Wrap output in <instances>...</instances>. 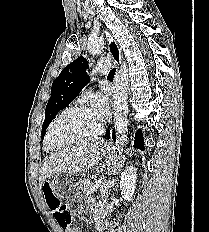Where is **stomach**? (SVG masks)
<instances>
[{
  "mask_svg": "<svg viewBox=\"0 0 209 232\" xmlns=\"http://www.w3.org/2000/svg\"><path fill=\"white\" fill-rule=\"evenodd\" d=\"M101 151L109 154L112 147L105 145ZM81 183H83V178L77 176V171H58L50 186L53 193L57 195V199H78Z\"/></svg>",
  "mask_w": 209,
  "mask_h": 232,
  "instance_id": "1",
  "label": "stomach"
}]
</instances>
